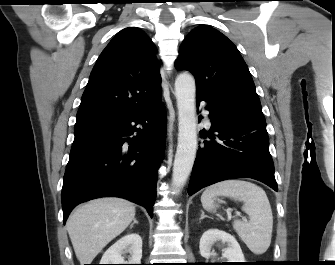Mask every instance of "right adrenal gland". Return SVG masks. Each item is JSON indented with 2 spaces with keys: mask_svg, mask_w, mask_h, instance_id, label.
Returning a JSON list of instances; mask_svg holds the SVG:
<instances>
[{
  "mask_svg": "<svg viewBox=\"0 0 335 265\" xmlns=\"http://www.w3.org/2000/svg\"><path fill=\"white\" fill-rule=\"evenodd\" d=\"M134 224H138V221L134 219L133 223L130 225V228H133Z\"/></svg>",
  "mask_w": 335,
  "mask_h": 265,
  "instance_id": "obj_1",
  "label": "right adrenal gland"
}]
</instances>
